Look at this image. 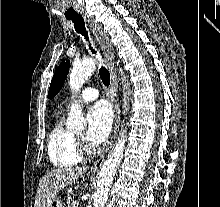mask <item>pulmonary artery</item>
Returning <instances> with one entry per match:
<instances>
[{
	"instance_id": "obj_1",
	"label": "pulmonary artery",
	"mask_w": 220,
	"mask_h": 207,
	"mask_svg": "<svg viewBox=\"0 0 220 207\" xmlns=\"http://www.w3.org/2000/svg\"><path fill=\"white\" fill-rule=\"evenodd\" d=\"M99 96V91L94 87H87L85 88L80 96L79 99L82 102H89L95 100ZM70 103H67L66 108H68Z\"/></svg>"
}]
</instances>
